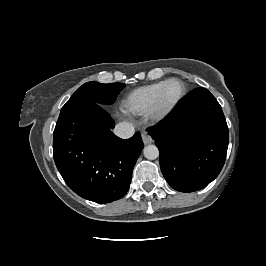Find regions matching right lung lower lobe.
<instances>
[{
  "label": "right lung lower lobe",
  "mask_w": 266,
  "mask_h": 266,
  "mask_svg": "<svg viewBox=\"0 0 266 266\" xmlns=\"http://www.w3.org/2000/svg\"><path fill=\"white\" fill-rule=\"evenodd\" d=\"M114 120L97 103L80 105L56 123L53 157L66 184L79 196L110 203L128 191L143 149L140 133L124 140L111 130Z\"/></svg>",
  "instance_id": "obj_1"
}]
</instances>
